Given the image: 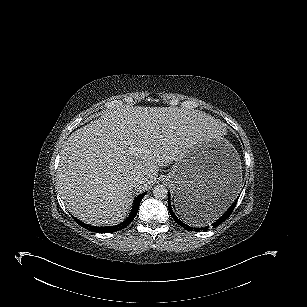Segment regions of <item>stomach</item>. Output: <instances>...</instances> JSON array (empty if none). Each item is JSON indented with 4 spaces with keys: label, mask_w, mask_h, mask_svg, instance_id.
Returning <instances> with one entry per match:
<instances>
[{
    "label": "stomach",
    "mask_w": 307,
    "mask_h": 307,
    "mask_svg": "<svg viewBox=\"0 0 307 307\" xmlns=\"http://www.w3.org/2000/svg\"><path fill=\"white\" fill-rule=\"evenodd\" d=\"M164 180L178 214L190 219L209 208H227L236 198L242 182L240 158L223 138L197 142L178 155Z\"/></svg>",
    "instance_id": "1"
}]
</instances>
